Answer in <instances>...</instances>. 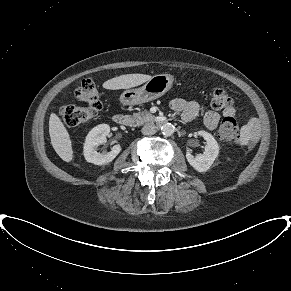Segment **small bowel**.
Here are the masks:
<instances>
[{
  "label": "small bowel",
  "mask_w": 291,
  "mask_h": 291,
  "mask_svg": "<svg viewBox=\"0 0 291 291\" xmlns=\"http://www.w3.org/2000/svg\"><path fill=\"white\" fill-rule=\"evenodd\" d=\"M171 109L176 112L182 113V120L184 122H191L194 120L200 111V106L196 101H187L185 99L177 98L172 100ZM235 108L233 106H228L222 112V116H234ZM221 119V114L214 110H208L204 115V124L209 130H214L217 128L219 121ZM247 128L250 133V139L255 141L259 137V125L258 123L251 119L247 123Z\"/></svg>",
  "instance_id": "small-bowel-1"
}]
</instances>
